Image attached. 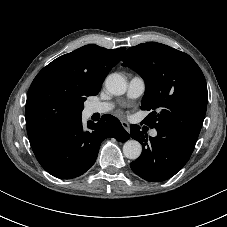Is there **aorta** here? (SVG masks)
Segmentation results:
<instances>
[{
    "label": "aorta",
    "instance_id": "1",
    "mask_svg": "<svg viewBox=\"0 0 227 227\" xmlns=\"http://www.w3.org/2000/svg\"><path fill=\"white\" fill-rule=\"evenodd\" d=\"M105 87L109 93L115 96L123 95L127 90V82L119 74H111L105 80ZM142 153V146L136 140H128L123 145V154L126 158L136 160Z\"/></svg>",
    "mask_w": 227,
    "mask_h": 227
}]
</instances>
